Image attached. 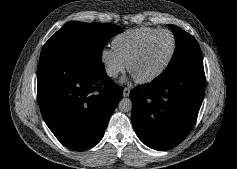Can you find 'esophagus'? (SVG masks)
<instances>
[{"mask_svg": "<svg viewBox=\"0 0 237 169\" xmlns=\"http://www.w3.org/2000/svg\"><path fill=\"white\" fill-rule=\"evenodd\" d=\"M130 94V88L129 87H125L123 89V97H128Z\"/></svg>", "mask_w": 237, "mask_h": 169, "instance_id": "obj_1", "label": "esophagus"}]
</instances>
